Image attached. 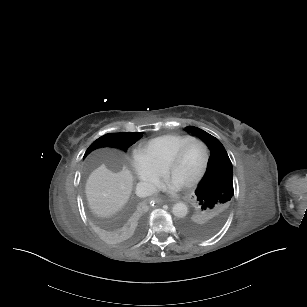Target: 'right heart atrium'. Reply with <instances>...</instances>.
Returning a JSON list of instances; mask_svg holds the SVG:
<instances>
[{"instance_id":"obj_1","label":"right heart atrium","mask_w":307,"mask_h":307,"mask_svg":"<svg viewBox=\"0 0 307 307\" xmlns=\"http://www.w3.org/2000/svg\"><path fill=\"white\" fill-rule=\"evenodd\" d=\"M131 167L136 177L142 181H156L162 174V168L152 163L145 155L132 151Z\"/></svg>"}]
</instances>
